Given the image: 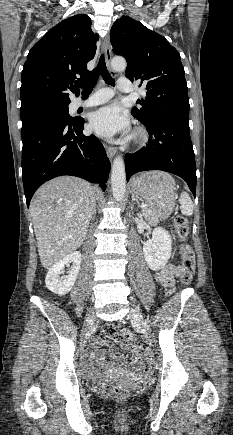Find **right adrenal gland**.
<instances>
[{
  "label": "right adrenal gland",
  "mask_w": 233,
  "mask_h": 435,
  "mask_svg": "<svg viewBox=\"0 0 233 435\" xmlns=\"http://www.w3.org/2000/svg\"><path fill=\"white\" fill-rule=\"evenodd\" d=\"M95 216H96V205H95V207H94V210H93V213H92V217L91 218H95Z\"/></svg>",
  "instance_id": "right-adrenal-gland-1"
}]
</instances>
